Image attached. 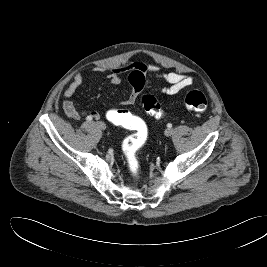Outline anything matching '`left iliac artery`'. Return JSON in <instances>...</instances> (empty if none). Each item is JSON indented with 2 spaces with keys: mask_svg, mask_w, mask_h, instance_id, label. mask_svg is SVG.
I'll list each match as a JSON object with an SVG mask.
<instances>
[{
  "mask_svg": "<svg viewBox=\"0 0 267 267\" xmlns=\"http://www.w3.org/2000/svg\"><path fill=\"white\" fill-rule=\"evenodd\" d=\"M167 127H168V128H171V127H172V124H171V123H168V124H167Z\"/></svg>",
  "mask_w": 267,
  "mask_h": 267,
  "instance_id": "left-iliac-artery-1",
  "label": "left iliac artery"
}]
</instances>
